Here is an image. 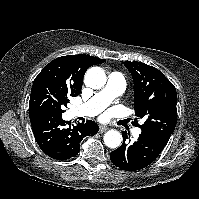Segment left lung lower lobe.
Returning a JSON list of instances; mask_svg holds the SVG:
<instances>
[{
  "label": "left lung lower lobe",
  "instance_id": "0a47b994",
  "mask_svg": "<svg viewBox=\"0 0 199 199\" xmlns=\"http://www.w3.org/2000/svg\"><path fill=\"white\" fill-rule=\"evenodd\" d=\"M122 145L110 154L111 162L122 170L135 171L150 165L161 153L167 142L160 138L141 133L134 143L127 145V134H123Z\"/></svg>",
  "mask_w": 199,
  "mask_h": 199
}]
</instances>
